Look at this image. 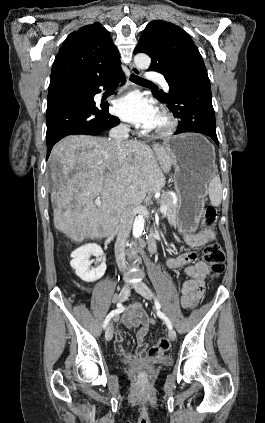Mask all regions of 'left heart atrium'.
<instances>
[{"mask_svg": "<svg viewBox=\"0 0 265 423\" xmlns=\"http://www.w3.org/2000/svg\"><path fill=\"white\" fill-rule=\"evenodd\" d=\"M114 111L124 121L144 128H151L159 113L151 100L137 92L119 98Z\"/></svg>", "mask_w": 265, "mask_h": 423, "instance_id": "1", "label": "left heart atrium"}]
</instances>
